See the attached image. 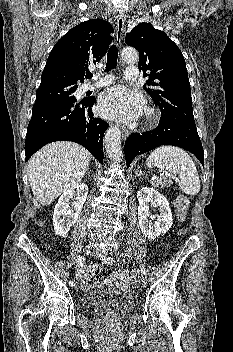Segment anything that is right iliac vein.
<instances>
[{"instance_id": "obj_1", "label": "right iliac vein", "mask_w": 233, "mask_h": 352, "mask_svg": "<svg viewBox=\"0 0 233 352\" xmlns=\"http://www.w3.org/2000/svg\"><path fill=\"white\" fill-rule=\"evenodd\" d=\"M92 251H95V248H94L93 245H87V246L84 248V254H85V255L90 254ZM74 287H75V289L80 288V283L77 282V283L74 285Z\"/></svg>"}]
</instances>
